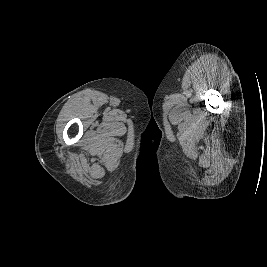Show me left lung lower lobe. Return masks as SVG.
Listing matches in <instances>:
<instances>
[{"label": "left lung lower lobe", "mask_w": 267, "mask_h": 267, "mask_svg": "<svg viewBox=\"0 0 267 267\" xmlns=\"http://www.w3.org/2000/svg\"><path fill=\"white\" fill-rule=\"evenodd\" d=\"M143 147H144V140L142 141V149H143ZM147 158L151 159V160L155 159L156 158L155 157V151H153V150L149 151L147 154Z\"/></svg>", "instance_id": "obj_1"}]
</instances>
